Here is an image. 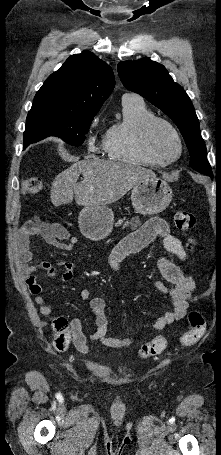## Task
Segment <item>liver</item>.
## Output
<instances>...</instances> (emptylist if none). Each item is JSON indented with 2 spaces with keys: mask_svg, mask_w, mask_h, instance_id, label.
I'll use <instances>...</instances> for the list:
<instances>
[{
  "mask_svg": "<svg viewBox=\"0 0 221 455\" xmlns=\"http://www.w3.org/2000/svg\"><path fill=\"white\" fill-rule=\"evenodd\" d=\"M81 174L83 180L77 183ZM150 177H155L152 170L127 163L97 158L78 161L55 177L50 198L56 207L73 199L85 207L111 204Z\"/></svg>",
  "mask_w": 221,
  "mask_h": 455,
  "instance_id": "obj_1",
  "label": "liver"
}]
</instances>
